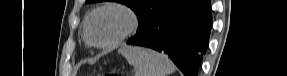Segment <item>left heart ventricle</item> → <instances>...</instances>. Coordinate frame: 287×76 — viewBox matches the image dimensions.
Wrapping results in <instances>:
<instances>
[{
  "instance_id": "1",
  "label": "left heart ventricle",
  "mask_w": 287,
  "mask_h": 76,
  "mask_svg": "<svg viewBox=\"0 0 287 76\" xmlns=\"http://www.w3.org/2000/svg\"><path fill=\"white\" fill-rule=\"evenodd\" d=\"M126 23V16L119 11L107 10L101 12L91 20L90 37L98 43H105L117 36Z\"/></svg>"
}]
</instances>
